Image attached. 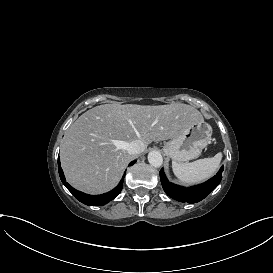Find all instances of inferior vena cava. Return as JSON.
<instances>
[{
  "label": "inferior vena cava",
  "instance_id": "602c4592",
  "mask_svg": "<svg viewBox=\"0 0 273 273\" xmlns=\"http://www.w3.org/2000/svg\"><path fill=\"white\" fill-rule=\"evenodd\" d=\"M145 145L141 140H134L130 142L127 146V152L130 155H135L141 153L145 150Z\"/></svg>",
  "mask_w": 273,
  "mask_h": 273
}]
</instances>
